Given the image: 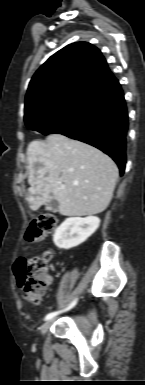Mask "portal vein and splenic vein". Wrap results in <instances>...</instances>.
<instances>
[{"instance_id": "18ae733b", "label": "portal vein and splenic vein", "mask_w": 145, "mask_h": 385, "mask_svg": "<svg viewBox=\"0 0 145 385\" xmlns=\"http://www.w3.org/2000/svg\"><path fill=\"white\" fill-rule=\"evenodd\" d=\"M65 186L64 185H60V188L63 189Z\"/></svg>"}]
</instances>
